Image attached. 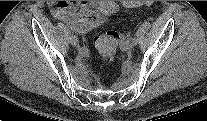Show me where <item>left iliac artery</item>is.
Returning <instances> with one entry per match:
<instances>
[{
	"instance_id": "44dca946",
	"label": "left iliac artery",
	"mask_w": 207,
	"mask_h": 121,
	"mask_svg": "<svg viewBox=\"0 0 207 121\" xmlns=\"http://www.w3.org/2000/svg\"><path fill=\"white\" fill-rule=\"evenodd\" d=\"M119 42L120 43H126V42H129V43H133L134 45L137 44V40L135 39V37L130 34V33H126L124 36H120L119 37Z\"/></svg>"
}]
</instances>
